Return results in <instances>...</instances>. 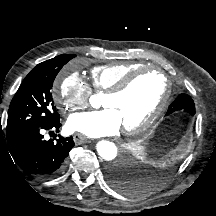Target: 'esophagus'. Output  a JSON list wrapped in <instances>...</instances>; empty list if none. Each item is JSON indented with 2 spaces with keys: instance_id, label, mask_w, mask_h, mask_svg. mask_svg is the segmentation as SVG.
<instances>
[{
  "instance_id": "34e87169",
  "label": "esophagus",
  "mask_w": 216,
  "mask_h": 216,
  "mask_svg": "<svg viewBox=\"0 0 216 216\" xmlns=\"http://www.w3.org/2000/svg\"><path fill=\"white\" fill-rule=\"evenodd\" d=\"M73 140L76 144H82L87 141V137L80 133H75L73 135Z\"/></svg>"
}]
</instances>
